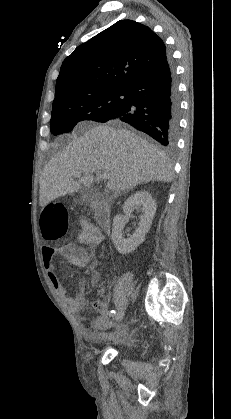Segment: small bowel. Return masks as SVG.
Instances as JSON below:
<instances>
[{"instance_id": "small-bowel-1", "label": "small bowel", "mask_w": 231, "mask_h": 419, "mask_svg": "<svg viewBox=\"0 0 231 419\" xmlns=\"http://www.w3.org/2000/svg\"><path fill=\"white\" fill-rule=\"evenodd\" d=\"M49 206L50 205L47 207ZM80 225L82 230L78 236V244L68 243L60 248L44 247L42 250L44 266L51 284L59 293L67 308L74 313L81 312L86 305L84 283H78L75 295H68L56 273L55 256L59 254L65 263L76 268H83L87 266L90 256L86 251L85 246H89L94 249L100 243L101 235L97 228L86 219H81ZM91 268L94 272V281L96 282L99 279L97 263L92 262ZM102 295H105L104 290L102 291ZM93 306L100 316L93 321L91 328H83L82 330L84 338L88 341H96L99 338L106 336L107 331L112 326L111 321L108 318V304L104 301H94ZM124 334L125 332L122 329H117L112 331L110 336L117 338L123 336Z\"/></svg>"}]
</instances>
